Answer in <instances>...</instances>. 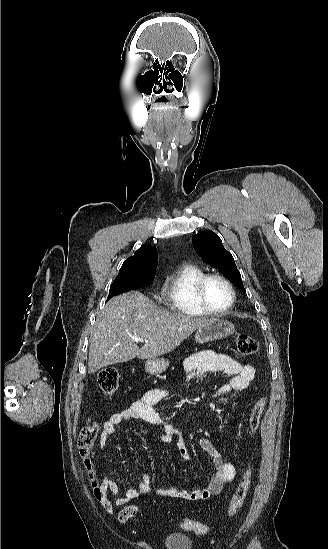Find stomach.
Returning a JSON list of instances; mask_svg holds the SVG:
<instances>
[{
  "mask_svg": "<svg viewBox=\"0 0 328 549\" xmlns=\"http://www.w3.org/2000/svg\"><path fill=\"white\" fill-rule=\"evenodd\" d=\"M235 333V327L225 319H209L206 325L197 329L194 339L196 343H209L217 339H225ZM169 367L167 359H148L145 363V371L149 375H160Z\"/></svg>",
  "mask_w": 328,
  "mask_h": 549,
  "instance_id": "1",
  "label": "stomach"
}]
</instances>
